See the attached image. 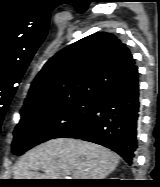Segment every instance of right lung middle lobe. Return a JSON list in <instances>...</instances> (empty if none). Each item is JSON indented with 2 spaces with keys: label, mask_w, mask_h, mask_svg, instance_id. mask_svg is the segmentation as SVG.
Returning <instances> with one entry per match:
<instances>
[{
  "label": "right lung middle lobe",
  "mask_w": 160,
  "mask_h": 187,
  "mask_svg": "<svg viewBox=\"0 0 160 187\" xmlns=\"http://www.w3.org/2000/svg\"><path fill=\"white\" fill-rule=\"evenodd\" d=\"M96 105L97 98H79L21 112L14 131L13 154L22 155L40 143L64 137L80 127L93 114Z\"/></svg>",
  "instance_id": "obj_1"
}]
</instances>
